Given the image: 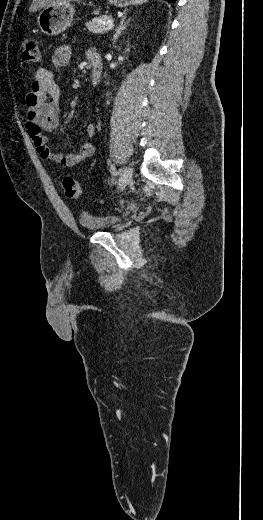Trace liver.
Masks as SVG:
<instances>
[{
	"mask_svg": "<svg viewBox=\"0 0 263 520\" xmlns=\"http://www.w3.org/2000/svg\"><path fill=\"white\" fill-rule=\"evenodd\" d=\"M72 1H80V0H33L29 11L36 12L42 8L48 7L50 5H61Z\"/></svg>",
	"mask_w": 263,
	"mask_h": 520,
	"instance_id": "1",
	"label": "liver"
}]
</instances>
